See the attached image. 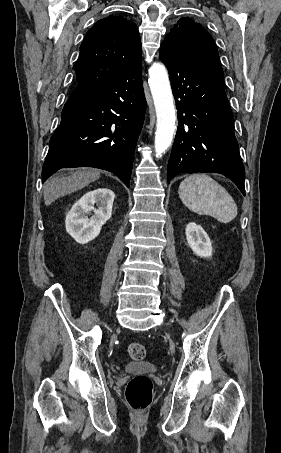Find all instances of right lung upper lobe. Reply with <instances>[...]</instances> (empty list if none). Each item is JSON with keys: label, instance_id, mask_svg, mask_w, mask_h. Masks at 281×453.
Here are the masks:
<instances>
[{"label": "right lung upper lobe", "instance_id": "cb5924a9", "mask_svg": "<svg viewBox=\"0 0 281 453\" xmlns=\"http://www.w3.org/2000/svg\"><path fill=\"white\" fill-rule=\"evenodd\" d=\"M141 40L134 22L122 16L99 20L85 35L74 65L76 83L108 82L142 59Z\"/></svg>", "mask_w": 281, "mask_h": 453}]
</instances>
